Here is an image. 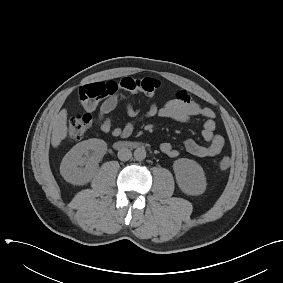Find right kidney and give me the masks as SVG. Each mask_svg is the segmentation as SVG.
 Masks as SVG:
<instances>
[{
  "instance_id": "1",
  "label": "right kidney",
  "mask_w": 283,
  "mask_h": 283,
  "mask_svg": "<svg viewBox=\"0 0 283 283\" xmlns=\"http://www.w3.org/2000/svg\"><path fill=\"white\" fill-rule=\"evenodd\" d=\"M92 151V154H89ZM107 144L101 139H88L76 144L63 158L60 165L62 177L74 185L88 183L105 155ZM85 166L84 168H82Z\"/></svg>"
}]
</instances>
